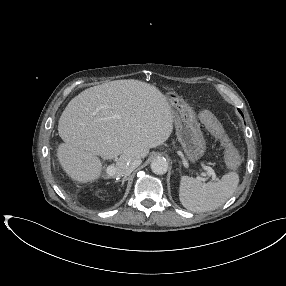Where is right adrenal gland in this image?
<instances>
[{
    "mask_svg": "<svg viewBox=\"0 0 286 286\" xmlns=\"http://www.w3.org/2000/svg\"><path fill=\"white\" fill-rule=\"evenodd\" d=\"M127 180V177H124L122 180H121V185L123 186L124 185V182Z\"/></svg>",
    "mask_w": 286,
    "mask_h": 286,
    "instance_id": "2a0ac1e0",
    "label": "right adrenal gland"
}]
</instances>
